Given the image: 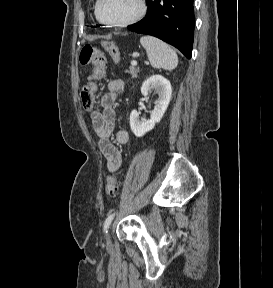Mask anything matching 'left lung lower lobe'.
<instances>
[{
	"label": "left lung lower lobe",
	"instance_id": "obj_1",
	"mask_svg": "<svg viewBox=\"0 0 273 288\" xmlns=\"http://www.w3.org/2000/svg\"><path fill=\"white\" fill-rule=\"evenodd\" d=\"M147 6L145 17L128 29L158 37L190 59L194 38L193 0H147Z\"/></svg>",
	"mask_w": 273,
	"mask_h": 288
}]
</instances>
